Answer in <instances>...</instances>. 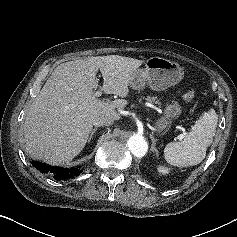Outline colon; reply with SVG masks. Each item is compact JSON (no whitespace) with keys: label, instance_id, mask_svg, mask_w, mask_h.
<instances>
[{"label":"colon","instance_id":"5ec220e1","mask_svg":"<svg viewBox=\"0 0 237 237\" xmlns=\"http://www.w3.org/2000/svg\"><path fill=\"white\" fill-rule=\"evenodd\" d=\"M195 92L194 90H189L183 95V99L186 104L191 105L194 102Z\"/></svg>","mask_w":237,"mask_h":237}]
</instances>
